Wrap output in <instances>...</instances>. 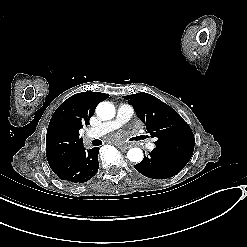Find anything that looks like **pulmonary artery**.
Listing matches in <instances>:
<instances>
[{
	"mask_svg": "<svg viewBox=\"0 0 247 247\" xmlns=\"http://www.w3.org/2000/svg\"><path fill=\"white\" fill-rule=\"evenodd\" d=\"M134 114V108L128 104H119L117 108L116 118L112 121L104 122L96 126L91 125L88 127L85 139L89 140L98 134H107L109 132H114L120 128L121 124L127 122ZM158 139V138H156ZM145 148L147 151L152 152L156 148V144L153 140H148L146 142Z\"/></svg>",
	"mask_w": 247,
	"mask_h": 247,
	"instance_id": "e3ab8cb5",
	"label": "pulmonary artery"
}]
</instances>
